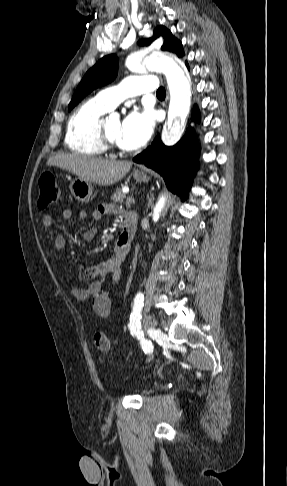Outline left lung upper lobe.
I'll use <instances>...</instances> for the list:
<instances>
[{
    "label": "left lung upper lobe",
    "instance_id": "obj_1",
    "mask_svg": "<svg viewBox=\"0 0 287 486\" xmlns=\"http://www.w3.org/2000/svg\"><path fill=\"white\" fill-rule=\"evenodd\" d=\"M159 36L164 38V44L162 45L161 50L175 53L178 57H182L184 55L181 42L173 37L171 32L164 26H157L154 30L153 37L149 39H142L139 41V44L147 46ZM117 70V57L115 54L107 55L101 58L84 75L72 97L68 110L71 111L87 94L92 92L94 89L113 81L117 75Z\"/></svg>",
    "mask_w": 287,
    "mask_h": 486
}]
</instances>
